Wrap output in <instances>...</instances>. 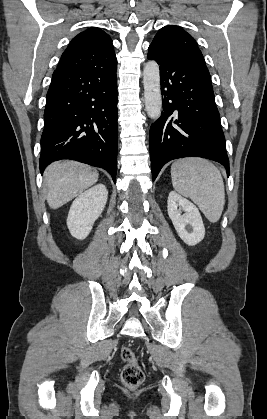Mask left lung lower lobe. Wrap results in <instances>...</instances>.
Listing matches in <instances>:
<instances>
[{"label": "left lung lower lobe", "mask_w": 267, "mask_h": 419, "mask_svg": "<svg viewBox=\"0 0 267 419\" xmlns=\"http://www.w3.org/2000/svg\"><path fill=\"white\" fill-rule=\"evenodd\" d=\"M160 65L163 112L151 125L149 148L153 181L167 162L203 157L221 163L229 175L225 137L206 67L149 47Z\"/></svg>", "instance_id": "left-lung-lower-lobe-1"}]
</instances>
